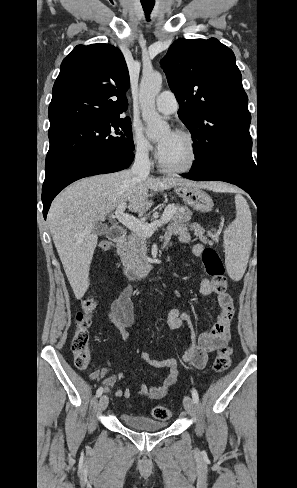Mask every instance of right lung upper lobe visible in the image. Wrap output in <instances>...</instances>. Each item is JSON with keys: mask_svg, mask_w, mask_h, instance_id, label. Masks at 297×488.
<instances>
[{"mask_svg": "<svg viewBox=\"0 0 297 488\" xmlns=\"http://www.w3.org/2000/svg\"><path fill=\"white\" fill-rule=\"evenodd\" d=\"M129 74L121 51L109 44L77 45L62 61L48 108L49 132L120 117L127 110Z\"/></svg>", "mask_w": 297, "mask_h": 488, "instance_id": "cb5924a9", "label": "right lung upper lobe"}]
</instances>
